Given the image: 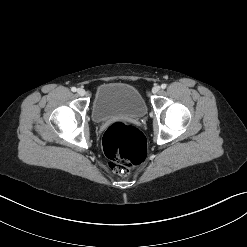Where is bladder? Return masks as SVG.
Listing matches in <instances>:
<instances>
[{
	"mask_svg": "<svg viewBox=\"0 0 247 247\" xmlns=\"http://www.w3.org/2000/svg\"><path fill=\"white\" fill-rule=\"evenodd\" d=\"M146 112L141 93L129 84L103 83L96 88L91 107L96 123L116 117L141 118Z\"/></svg>",
	"mask_w": 247,
	"mask_h": 247,
	"instance_id": "31cf9c89",
	"label": "bladder"
}]
</instances>
